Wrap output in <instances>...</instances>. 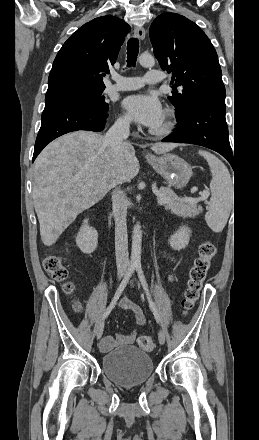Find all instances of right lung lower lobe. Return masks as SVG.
<instances>
[{
  "label": "right lung lower lobe",
  "instance_id": "1",
  "mask_svg": "<svg viewBox=\"0 0 259 440\" xmlns=\"http://www.w3.org/2000/svg\"><path fill=\"white\" fill-rule=\"evenodd\" d=\"M107 117L108 111L82 103H61L45 106L32 162L48 143L63 134L77 130L102 131Z\"/></svg>",
  "mask_w": 259,
  "mask_h": 440
}]
</instances>
